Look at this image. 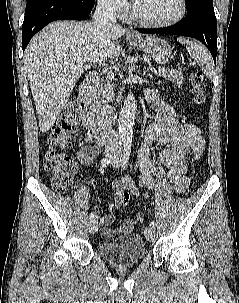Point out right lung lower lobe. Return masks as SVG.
Segmentation results:
<instances>
[{
    "instance_id": "obj_1",
    "label": "right lung lower lobe",
    "mask_w": 239,
    "mask_h": 303,
    "mask_svg": "<svg viewBox=\"0 0 239 303\" xmlns=\"http://www.w3.org/2000/svg\"><path fill=\"white\" fill-rule=\"evenodd\" d=\"M95 0H27L22 25V48L25 50L35 33L55 20H83Z\"/></svg>"
}]
</instances>
